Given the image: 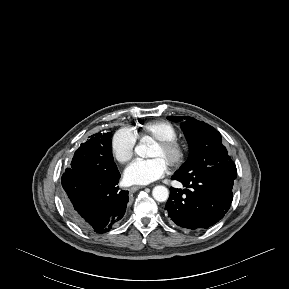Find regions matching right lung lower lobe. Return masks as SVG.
<instances>
[{
  "mask_svg": "<svg viewBox=\"0 0 289 289\" xmlns=\"http://www.w3.org/2000/svg\"><path fill=\"white\" fill-rule=\"evenodd\" d=\"M119 178L117 167L96 171L85 163L66 169L61 178L64 203L81 228L101 234L122 219L129 197L128 191L119 190Z\"/></svg>",
  "mask_w": 289,
  "mask_h": 289,
  "instance_id": "1",
  "label": "right lung lower lobe"
}]
</instances>
